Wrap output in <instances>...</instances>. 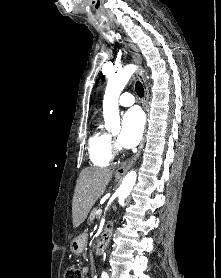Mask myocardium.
I'll list each match as a JSON object with an SVG mask.
<instances>
[{"label":"myocardium","mask_w":221,"mask_h":278,"mask_svg":"<svg viewBox=\"0 0 221 278\" xmlns=\"http://www.w3.org/2000/svg\"><path fill=\"white\" fill-rule=\"evenodd\" d=\"M114 151L118 152V147L114 146Z\"/></svg>","instance_id":"1"}]
</instances>
